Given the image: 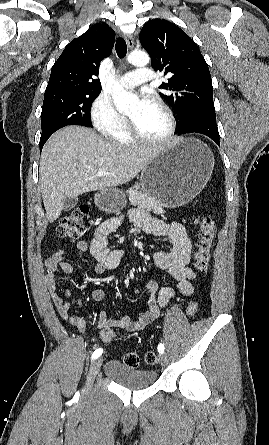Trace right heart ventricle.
Listing matches in <instances>:
<instances>
[{
    "label": "right heart ventricle",
    "mask_w": 269,
    "mask_h": 445,
    "mask_svg": "<svg viewBox=\"0 0 269 445\" xmlns=\"http://www.w3.org/2000/svg\"><path fill=\"white\" fill-rule=\"evenodd\" d=\"M109 136L111 140L118 145L129 146L135 142L131 135L127 122L123 126L110 133Z\"/></svg>",
    "instance_id": "right-heart-ventricle-1"
}]
</instances>
